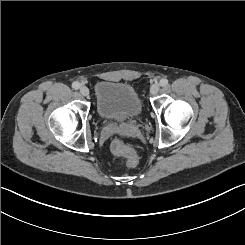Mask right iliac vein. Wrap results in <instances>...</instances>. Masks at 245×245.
Masks as SVG:
<instances>
[{
  "mask_svg": "<svg viewBox=\"0 0 245 245\" xmlns=\"http://www.w3.org/2000/svg\"><path fill=\"white\" fill-rule=\"evenodd\" d=\"M80 93L83 96H88L89 95V89L86 86H82V87H80Z\"/></svg>",
  "mask_w": 245,
  "mask_h": 245,
  "instance_id": "right-iliac-vein-1",
  "label": "right iliac vein"
}]
</instances>
